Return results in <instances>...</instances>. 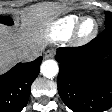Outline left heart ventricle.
Masks as SVG:
<instances>
[{
	"label": "left heart ventricle",
	"instance_id": "obj_1",
	"mask_svg": "<svg viewBox=\"0 0 112 112\" xmlns=\"http://www.w3.org/2000/svg\"><path fill=\"white\" fill-rule=\"evenodd\" d=\"M94 28V22L91 20L86 21L82 26V34H88L90 33Z\"/></svg>",
	"mask_w": 112,
	"mask_h": 112
}]
</instances>
